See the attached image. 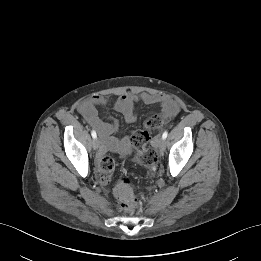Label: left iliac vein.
I'll return each mask as SVG.
<instances>
[{
    "mask_svg": "<svg viewBox=\"0 0 261 261\" xmlns=\"http://www.w3.org/2000/svg\"><path fill=\"white\" fill-rule=\"evenodd\" d=\"M165 146H166V141H165V139L159 138V139L157 140V147H158V149H159L160 151H163V150L165 149Z\"/></svg>",
    "mask_w": 261,
    "mask_h": 261,
    "instance_id": "4c4485c4",
    "label": "left iliac vein"
}]
</instances>
